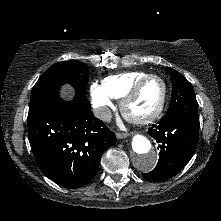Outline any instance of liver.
<instances>
[{"label": "liver", "instance_id": "6515ba94", "mask_svg": "<svg viewBox=\"0 0 221 221\" xmlns=\"http://www.w3.org/2000/svg\"><path fill=\"white\" fill-rule=\"evenodd\" d=\"M72 93L73 92L70 89L66 88V89H64L62 96L63 97H71Z\"/></svg>", "mask_w": 221, "mask_h": 221}]
</instances>
